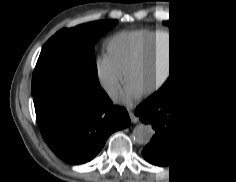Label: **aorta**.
<instances>
[{"instance_id": "obj_1", "label": "aorta", "mask_w": 236, "mask_h": 182, "mask_svg": "<svg viewBox=\"0 0 236 182\" xmlns=\"http://www.w3.org/2000/svg\"><path fill=\"white\" fill-rule=\"evenodd\" d=\"M133 139L139 144L147 143L152 135V131L149 126L144 124H137L133 129Z\"/></svg>"}]
</instances>
